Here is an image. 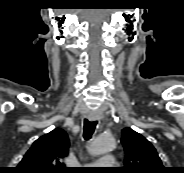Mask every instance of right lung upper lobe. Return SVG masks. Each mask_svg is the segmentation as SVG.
I'll use <instances>...</instances> for the list:
<instances>
[{
	"label": "right lung upper lobe",
	"instance_id": "1",
	"mask_svg": "<svg viewBox=\"0 0 184 173\" xmlns=\"http://www.w3.org/2000/svg\"><path fill=\"white\" fill-rule=\"evenodd\" d=\"M69 140L63 129H54L37 139L16 167L17 173H67L63 159Z\"/></svg>",
	"mask_w": 184,
	"mask_h": 173
}]
</instances>
